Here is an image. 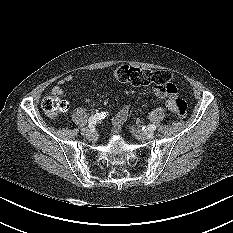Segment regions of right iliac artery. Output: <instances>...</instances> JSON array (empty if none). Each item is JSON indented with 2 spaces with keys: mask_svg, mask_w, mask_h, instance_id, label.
<instances>
[{
  "mask_svg": "<svg viewBox=\"0 0 233 233\" xmlns=\"http://www.w3.org/2000/svg\"><path fill=\"white\" fill-rule=\"evenodd\" d=\"M107 116L106 112H100V113H96L95 115L91 116L88 120L89 123V127H91L92 125L96 124L97 122L101 121L102 119H104Z\"/></svg>",
  "mask_w": 233,
  "mask_h": 233,
  "instance_id": "82829eb1",
  "label": "right iliac artery"
}]
</instances>
